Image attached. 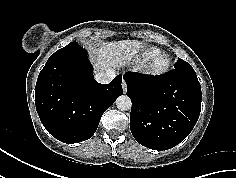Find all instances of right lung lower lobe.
Listing matches in <instances>:
<instances>
[{
    "instance_id": "right-lung-lower-lobe-1",
    "label": "right lung lower lobe",
    "mask_w": 236,
    "mask_h": 178,
    "mask_svg": "<svg viewBox=\"0 0 236 178\" xmlns=\"http://www.w3.org/2000/svg\"><path fill=\"white\" fill-rule=\"evenodd\" d=\"M121 82V75L109 84L95 81L87 52L78 44L59 49L38 76L37 113L45 129L59 141H85L95 133L105 110L123 94Z\"/></svg>"
}]
</instances>
